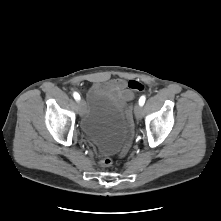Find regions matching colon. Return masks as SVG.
Instances as JSON below:
<instances>
[{
    "label": "colon",
    "mask_w": 221,
    "mask_h": 221,
    "mask_svg": "<svg viewBox=\"0 0 221 221\" xmlns=\"http://www.w3.org/2000/svg\"><path fill=\"white\" fill-rule=\"evenodd\" d=\"M127 88L131 92H141L144 90V84L138 80H130L128 82ZM130 146H131V135H129L127 138L126 144L124 145V148L120 153V158L124 157L128 153ZM119 164H120L119 160L114 161L109 157L102 159L100 162V165L104 167H109L112 165H119Z\"/></svg>",
    "instance_id": "1"
}]
</instances>
